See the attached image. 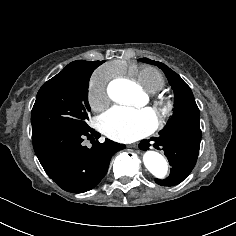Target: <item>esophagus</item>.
<instances>
[{
    "label": "esophagus",
    "mask_w": 236,
    "mask_h": 236,
    "mask_svg": "<svg viewBox=\"0 0 236 236\" xmlns=\"http://www.w3.org/2000/svg\"><path fill=\"white\" fill-rule=\"evenodd\" d=\"M128 147L132 148V147H135V145H129Z\"/></svg>",
    "instance_id": "esophagus-1"
}]
</instances>
